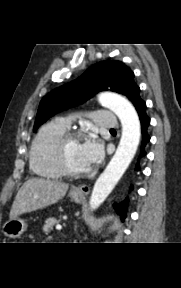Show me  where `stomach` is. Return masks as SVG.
I'll use <instances>...</instances> for the list:
<instances>
[{"instance_id":"obj_1","label":"stomach","mask_w":181,"mask_h":288,"mask_svg":"<svg viewBox=\"0 0 181 288\" xmlns=\"http://www.w3.org/2000/svg\"><path fill=\"white\" fill-rule=\"evenodd\" d=\"M72 201L76 203H80L82 200V196L76 194L74 192L69 193ZM27 228V223L24 219L16 216L14 218H10L2 227V231L4 235L8 238L15 239L20 237Z\"/></svg>"}]
</instances>
